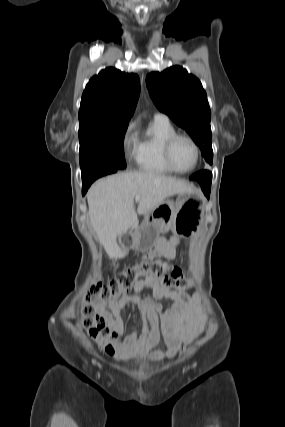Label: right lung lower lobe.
Returning <instances> with one entry per match:
<instances>
[{"instance_id":"98d812e1","label":"right lung lower lobe","mask_w":285,"mask_h":427,"mask_svg":"<svg viewBox=\"0 0 285 427\" xmlns=\"http://www.w3.org/2000/svg\"><path fill=\"white\" fill-rule=\"evenodd\" d=\"M116 171H117V168L105 169L97 172L96 174L90 177L82 178V182H83L82 194L84 195L87 192L92 182L95 181L97 178L102 177L104 175L115 173Z\"/></svg>"}]
</instances>
